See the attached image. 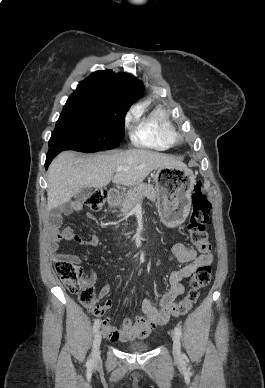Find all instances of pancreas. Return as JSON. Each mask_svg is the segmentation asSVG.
<instances>
[{"instance_id":"1","label":"pancreas","mask_w":265,"mask_h":388,"mask_svg":"<svg viewBox=\"0 0 265 388\" xmlns=\"http://www.w3.org/2000/svg\"><path fill=\"white\" fill-rule=\"evenodd\" d=\"M143 198H148V200L155 202L157 196L151 184H137L134 188H130L128 194H126L123 200L121 208L122 214L130 212V210H132V208H134L140 200H143Z\"/></svg>"}]
</instances>
